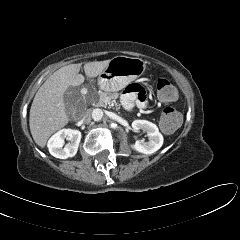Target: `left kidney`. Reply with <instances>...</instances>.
<instances>
[{
	"mask_svg": "<svg viewBox=\"0 0 240 240\" xmlns=\"http://www.w3.org/2000/svg\"><path fill=\"white\" fill-rule=\"evenodd\" d=\"M132 128L136 132L142 130L148 136V141L137 140L135 144L130 145L132 149L143 154H152L163 145V136L154 123L147 120H135L132 122Z\"/></svg>",
	"mask_w": 240,
	"mask_h": 240,
	"instance_id": "1",
	"label": "left kidney"
}]
</instances>
